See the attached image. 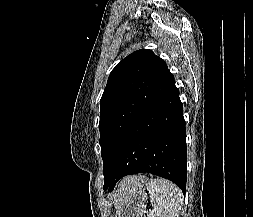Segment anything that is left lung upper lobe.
Returning a JSON list of instances; mask_svg holds the SVG:
<instances>
[{
    "instance_id": "5c2ea615",
    "label": "left lung upper lobe",
    "mask_w": 253,
    "mask_h": 217,
    "mask_svg": "<svg viewBox=\"0 0 253 217\" xmlns=\"http://www.w3.org/2000/svg\"><path fill=\"white\" fill-rule=\"evenodd\" d=\"M174 85L164 60L141 49L110 73L100 100V146L104 184L113 171L118 146L134 121Z\"/></svg>"
}]
</instances>
